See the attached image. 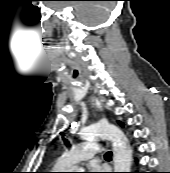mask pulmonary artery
<instances>
[{"instance_id": "1", "label": "pulmonary artery", "mask_w": 170, "mask_h": 173, "mask_svg": "<svg viewBox=\"0 0 170 173\" xmlns=\"http://www.w3.org/2000/svg\"><path fill=\"white\" fill-rule=\"evenodd\" d=\"M103 150L101 146L94 142L84 141L68 150L62 158L65 160L67 166H71L81 161L89 160Z\"/></svg>"}]
</instances>
